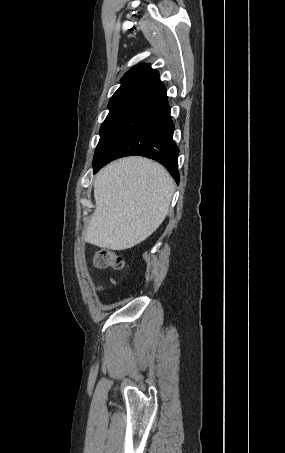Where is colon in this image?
Here are the masks:
<instances>
[{"mask_svg": "<svg viewBox=\"0 0 285 453\" xmlns=\"http://www.w3.org/2000/svg\"><path fill=\"white\" fill-rule=\"evenodd\" d=\"M93 263L97 268H113L122 270L125 267L124 259L108 249H99L93 255Z\"/></svg>", "mask_w": 285, "mask_h": 453, "instance_id": "obj_1", "label": "colon"}]
</instances>
